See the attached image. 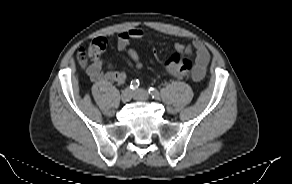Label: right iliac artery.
Wrapping results in <instances>:
<instances>
[{
    "instance_id": "82829eb1",
    "label": "right iliac artery",
    "mask_w": 292,
    "mask_h": 184,
    "mask_svg": "<svg viewBox=\"0 0 292 184\" xmlns=\"http://www.w3.org/2000/svg\"><path fill=\"white\" fill-rule=\"evenodd\" d=\"M139 80L138 79H134L131 81L130 83V89L135 90L136 88L139 87Z\"/></svg>"
}]
</instances>
